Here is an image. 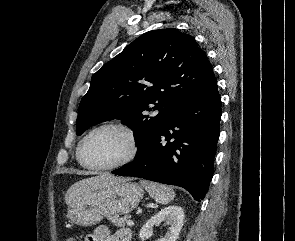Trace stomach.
Segmentation results:
<instances>
[{"label":"stomach","instance_id":"stomach-1","mask_svg":"<svg viewBox=\"0 0 295 241\" xmlns=\"http://www.w3.org/2000/svg\"><path fill=\"white\" fill-rule=\"evenodd\" d=\"M143 195V188L127 179L104 184L75 197L69 204L67 218L79 226H93L105 217L131 212Z\"/></svg>","mask_w":295,"mask_h":241}]
</instances>
